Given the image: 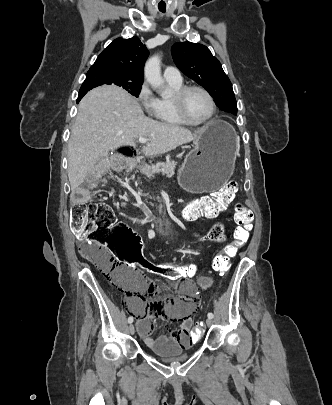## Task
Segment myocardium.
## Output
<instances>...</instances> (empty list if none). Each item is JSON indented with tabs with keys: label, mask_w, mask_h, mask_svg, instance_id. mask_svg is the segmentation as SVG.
Wrapping results in <instances>:
<instances>
[{
	"label": "myocardium",
	"mask_w": 332,
	"mask_h": 405,
	"mask_svg": "<svg viewBox=\"0 0 332 405\" xmlns=\"http://www.w3.org/2000/svg\"><path fill=\"white\" fill-rule=\"evenodd\" d=\"M192 90L201 91L208 97V99L211 102L212 109H211L209 116L200 121L191 120L186 114L185 100H186L187 94ZM172 101L174 104L176 114L180 118V120L184 124L191 125V126H201V125L208 124L209 122H211L214 119L216 112H217V104H216V101H215L213 95L206 88H204L203 86H200V85H187V86L181 87L179 90L174 92Z\"/></svg>",
	"instance_id": "myocardium-1"
}]
</instances>
